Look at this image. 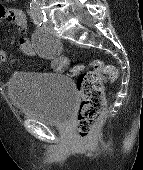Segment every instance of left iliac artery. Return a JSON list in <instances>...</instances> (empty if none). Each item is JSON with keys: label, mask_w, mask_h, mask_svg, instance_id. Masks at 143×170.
Masks as SVG:
<instances>
[{"label": "left iliac artery", "mask_w": 143, "mask_h": 170, "mask_svg": "<svg viewBox=\"0 0 143 170\" xmlns=\"http://www.w3.org/2000/svg\"><path fill=\"white\" fill-rule=\"evenodd\" d=\"M47 21L46 17L44 18V23Z\"/></svg>", "instance_id": "44dca946"}]
</instances>
